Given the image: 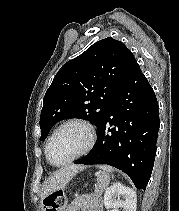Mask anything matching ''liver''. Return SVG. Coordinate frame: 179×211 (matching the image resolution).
Instances as JSON below:
<instances>
[{
  "instance_id": "obj_1",
  "label": "liver",
  "mask_w": 179,
  "mask_h": 211,
  "mask_svg": "<svg viewBox=\"0 0 179 211\" xmlns=\"http://www.w3.org/2000/svg\"><path fill=\"white\" fill-rule=\"evenodd\" d=\"M81 170H83V166L72 165L56 171L47 182L41 198H45L53 192L64 188L72 177Z\"/></svg>"
}]
</instances>
